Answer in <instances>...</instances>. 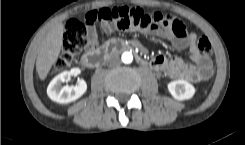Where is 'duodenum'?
Returning <instances> with one entry per match:
<instances>
[{
	"label": "duodenum",
	"mask_w": 245,
	"mask_h": 145,
	"mask_svg": "<svg viewBox=\"0 0 245 145\" xmlns=\"http://www.w3.org/2000/svg\"><path fill=\"white\" fill-rule=\"evenodd\" d=\"M135 47L136 46L133 44H125L119 40H110L101 47L89 49L83 55L82 63L88 68H97L103 63L107 55L114 50H118L131 52L135 55L139 63L146 64V61L141 57V55L135 51Z\"/></svg>",
	"instance_id": "duodenum-1"
}]
</instances>
